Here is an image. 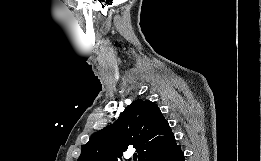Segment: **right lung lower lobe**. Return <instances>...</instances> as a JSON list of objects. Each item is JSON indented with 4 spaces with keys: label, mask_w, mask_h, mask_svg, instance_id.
<instances>
[{
    "label": "right lung lower lobe",
    "mask_w": 261,
    "mask_h": 161,
    "mask_svg": "<svg viewBox=\"0 0 261 161\" xmlns=\"http://www.w3.org/2000/svg\"><path fill=\"white\" fill-rule=\"evenodd\" d=\"M146 161H184V154L180 145L175 144L168 149L152 154Z\"/></svg>",
    "instance_id": "obj_1"
}]
</instances>
